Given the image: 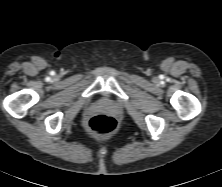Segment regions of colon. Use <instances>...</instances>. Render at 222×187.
<instances>
[{
    "label": "colon",
    "instance_id": "obj_1",
    "mask_svg": "<svg viewBox=\"0 0 222 187\" xmlns=\"http://www.w3.org/2000/svg\"><path fill=\"white\" fill-rule=\"evenodd\" d=\"M87 126L91 133L104 136L116 129L117 122L112 116L98 114L89 119Z\"/></svg>",
    "mask_w": 222,
    "mask_h": 187
}]
</instances>
